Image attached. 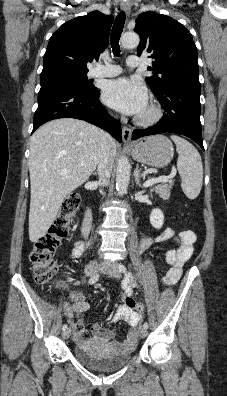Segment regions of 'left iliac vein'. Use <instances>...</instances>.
<instances>
[{"label":"left iliac vein","instance_id":"1","mask_svg":"<svg viewBox=\"0 0 227 396\" xmlns=\"http://www.w3.org/2000/svg\"><path fill=\"white\" fill-rule=\"evenodd\" d=\"M101 271L103 273H106L112 277L115 278H120L121 277V271L119 270V265L116 263H108L104 264L101 268ZM138 335L141 338H144L147 336V330L144 327H140L138 330Z\"/></svg>","mask_w":227,"mask_h":396}]
</instances>
